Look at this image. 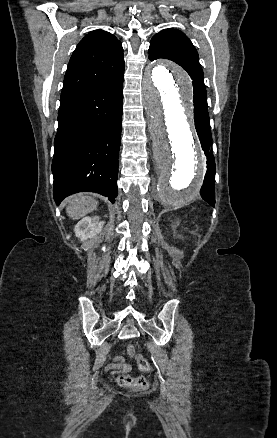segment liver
I'll return each mask as SVG.
<instances>
[{
    "label": "liver",
    "instance_id": "1",
    "mask_svg": "<svg viewBox=\"0 0 277 438\" xmlns=\"http://www.w3.org/2000/svg\"><path fill=\"white\" fill-rule=\"evenodd\" d=\"M98 202L91 198V196H85V194H76L68 200V206L66 208V214L72 220H80L86 214L97 210Z\"/></svg>",
    "mask_w": 277,
    "mask_h": 438
}]
</instances>
